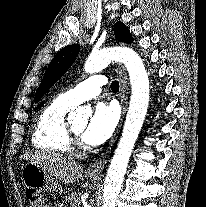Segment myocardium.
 Masks as SVG:
<instances>
[{
    "instance_id": "f54148a6",
    "label": "myocardium",
    "mask_w": 206,
    "mask_h": 207,
    "mask_svg": "<svg viewBox=\"0 0 206 207\" xmlns=\"http://www.w3.org/2000/svg\"><path fill=\"white\" fill-rule=\"evenodd\" d=\"M67 130H68V134H69V137H70L73 145L80 144L81 143V135L76 133L73 130L72 126H70V125H68Z\"/></svg>"
}]
</instances>
